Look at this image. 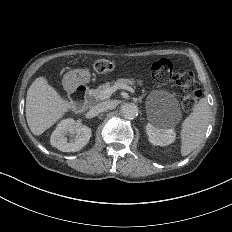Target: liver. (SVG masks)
Masks as SVG:
<instances>
[{"mask_svg":"<svg viewBox=\"0 0 232 232\" xmlns=\"http://www.w3.org/2000/svg\"><path fill=\"white\" fill-rule=\"evenodd\" d=\"M77 108L75 101L63 97L43 75L37 77L27 90L26 120L35 136L42 135L68 112Z\"/></svg>","mask_w":232,"mask_h":232,"instance_id":"1","label":"liver"}]
</instances>
